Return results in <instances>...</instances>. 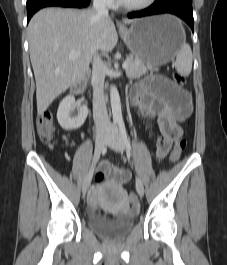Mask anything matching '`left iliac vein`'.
Wrapping results in <instances>:
<instances>
[{
    "mask_svg": "<svg viewBox=\"0 0 227 265\" xmlns=\"http://www.w3.org/2000/svg\"><path fill=\"white\" fill-rule=\"evenodd\" d=\"M107 145L116 152L123 153L125 151V143L121 136V133L116 127H113L111 133L107 138ZM136 191L140 197L144 195V186L139 177L136 178Z\"/></svg>",
    "mask_w": 227,
    "mask_h": 265,
    "instance_id": "obj_1",
    "label": "left iliac vein"
}]
</instances>
